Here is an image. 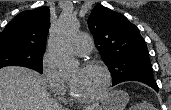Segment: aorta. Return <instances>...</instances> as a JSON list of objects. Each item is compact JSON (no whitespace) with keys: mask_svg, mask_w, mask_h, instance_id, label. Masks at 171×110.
Listing matches in <instances>:
<instances>
[{"mask_svg":"<svg viewBox=\"0 0 171 110\" xmlns=\"http://www.w3.org/2000/svg\"><path fill=\"white\" fill-rule=\"evenodd\" d=\"M79 27L73 16L63 15L48 42V51L53 64L61 74L72 73L77 68V61L70 50V42Z\"/></svg>","mask_w":171,"mask_h":110,"instance_id":"obj_1","label":"aorta"}]
</instances>
